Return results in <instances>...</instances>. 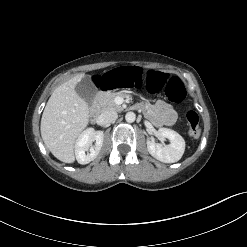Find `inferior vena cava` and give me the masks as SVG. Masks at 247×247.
<instances>
[{
  "label": "inferior vena cava",
  "instance_id": "obj_1",
  "mask_svg": "<svg viewBox=\"0 0 247 247\" xmlns=\"http://www.w3.org/2000/svg\"><path fill=\"white\" fill-rule=\"evenodd\" d=\"M118 117L116 111L113 110H106L100 115V120L103 124H110L113 123Z\"/></svg>",
  "mask_w": 247,
  "mask_h": 247
}]
</instances>
